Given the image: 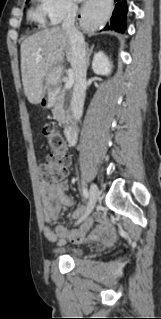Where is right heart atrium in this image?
<instances>
[{"label":"right heart atrium","mask_w":161,"mask_h":319,"mask_svg":"<svg viewBox=\"0 0 161 319\" xmlns=\"http://www.w3.org/2000/svg\"><path fill=\"white\" fill-rule=\"evenodd\" d=\"M41 7L52 25H57L76 10L73 0H40Z\"/></svg>","instance_id":"d8ad5b80"}]
</instances>
